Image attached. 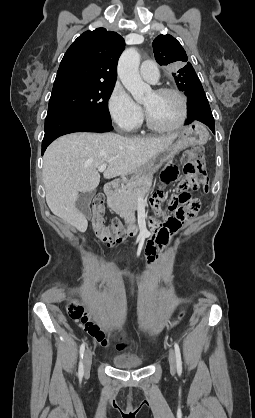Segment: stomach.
<instances>
[{"label": "stomach", "mask_w": 255, "mask_h": 418, "mask_svg": "<svg viewBox=\"0 0 255 418\" xmlns=\"http://www.w3.org/2000/svg\"><path fill=\"white\" fill-rule=\"evenodd\" d=\"M207 129L200 123H193L184 127L179 135L178 140L164 149L154 157H152L146 164L141 166L135 175H150L156 172L166 162L170 161L178 152L188 146L203 145L208 139Z\"/></svg>", "instance_id": "1"}]
</instances>
